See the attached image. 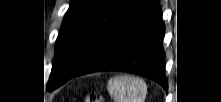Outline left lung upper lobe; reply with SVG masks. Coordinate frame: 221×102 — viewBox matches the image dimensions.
Masks as SVG:
<instances>
[{
	"instance_id": "left-lung-upper-lobe-1",
	"label": "left lung upper lobe",
	"mask_w": 221,
	"mask_h": 102,
	"mask_svg": "<svg viewBox=\"0 0 221 102\" xmlns=\"http://www.w3.org/2000/svg\"><path fill=\"white\" fill-rule=\"evenodd\" d=\"M137 0H71L56 40L47 90L69 80Z\"/></svg>"
}]
</instances>
